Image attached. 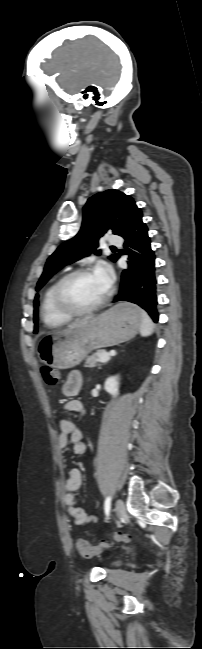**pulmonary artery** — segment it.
<instances>
[{
	"instance_id": "pulmonary-artery-1",
	"label": "pulmonary artery",
	"mask_w": 202,
	"mask_h": 649,
	"mask_svg": "<svg viewBox=\"0 0 202 649\" xmlns=\"http://www.w3.org/2000/svg\"><path fill=\"white\" fill-rule=\"evenodd\" d=\"M122 238L116 235H111L108 238V244L111 246H119L122 244Z\"/></svg>"
}]
</instances>
